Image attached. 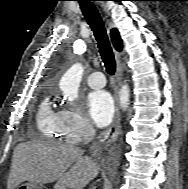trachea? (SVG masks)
Masks as SVG:
<instances>
[{"label": "trachea", "mask_w": 188, "mask_h": 189, "mask_svg": "<svg viewBox=\"0 0 188 189\" xmlns=\"http://www.w3.org/2000/svg\"><path fill=\"white\" fill-rule=\"evenodd\" d=\"M77 1L80 4V8L88 24L94 32L99 52L102 61L104 62L107 73L110 75H114L116 70V62L101 16L94 4L90 2V0Z\"/></svg>", "instance_id": "trachea-1"}]
</instances>
